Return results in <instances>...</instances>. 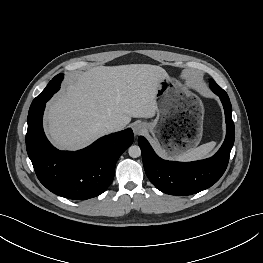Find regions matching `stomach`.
I'll use <instances>...</instances> for the list:
<instances>
[{
  "label": "stomach",
  "instance_id": "stomach-1",
  "mask_svg": "<svg viewBox=\"0 0 263 263\" xmlns=\"http://www.w3.org/2000/svg\"><path fill=\"white\" fill-rule=\"evenodd\" d=\"M158 116L147 124L159 153L168 158L195 148L203 133L201 100L180 81L168 75L159 81Z\"/></svg>",
  "mask_w": 263,
  "mask_h": 263
}]
</instances>
